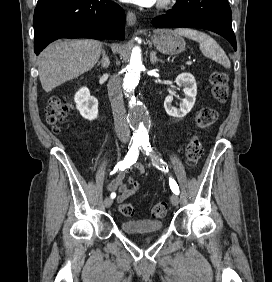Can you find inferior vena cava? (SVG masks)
I'll use <instances>...</instances> for the list:
<instances>
[{
	"label": "inferior vena cava",
	"mask_w": 272,
	"mask_h": 282,
	"mask_svg": "<svg viewBox=\"0 0 272 282\" xmlns=\"http://www.w3.org/2000/svg\"><path fill=\"white\" fill-rule=\"evenodd\" d=\"M108 95L112 106L117 136L122 141L129 140L130 131L123 102L121 79L117 75H113L109 79Z\"/></svg>",
	"instance_id": "inferior-vena-cava-1"
}]
</instances>
